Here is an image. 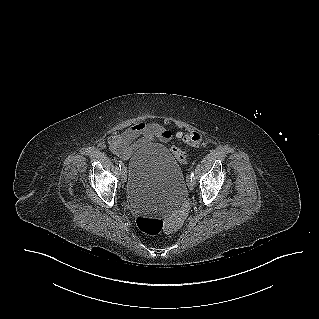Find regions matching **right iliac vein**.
Instances as JSON below:
<instances>
[{"label": "right iliac vein", "instance_id": "obj_1", "mask_svg": "<svg viewBox=\"0 0 319 319\" xmlns=\"http://www.w3.org/2000/svg\"><path fill=\"white\" fill-rule=\"evenodd\" d=\"M126 179H127L126 168L124 167L123 171L121 172V180L123 183H125Z\"/></svg>", "mask_w": 319, "mask_h": 319}]
</instances>
